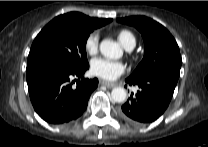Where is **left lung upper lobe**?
<instances>
[{
  "label": "left lung upper lobe",
  "mask_w": 208,
  "mask_h": 147,
  "mask_svg": "<svg viewBox=\"0 0 208 147\" xmlns=\"http://www.w3.org/2000/svg\"><path fill=\"white\" fill-rule=\"evenodd\" d=\"M117 21L137 28L145 44L144 58L129 78L139 79L160 73L178 80L182 63L179 47L164 26L145 16H131Z\"/></svg>",
  "instance_id": "left-lung-upper-lobe-1"
}]
</instances>
